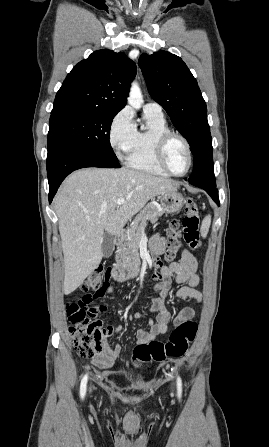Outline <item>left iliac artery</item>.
Here are the masks:
<instances>
[{
	"label": "left iliac artery",
	"mask_w": 269,
	"mask_h": 447,
	"mask_svg": "<svg viewBox=\"0 0 269 447\" xmlns=\"http://www.w3.org/2000/svg\"><path fill=\"white\" fill-rule=\"evenodd\" d=\"M177 390H178V397H181V393H182V382L180 377L177 378Z\"/></svg>",
	"instance_id": "1"
}]
</instances>
